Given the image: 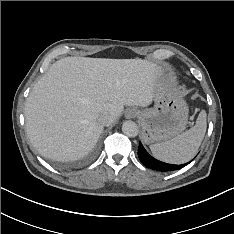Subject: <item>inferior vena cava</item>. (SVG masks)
I'll return each instance as SVG.
<instances>
[{
  "instance_id": "inferior-vena-cava-1",
  "label": "inferior vena cava",
  "mask_w": 234,
  "mask_h": 234,
  "mask_svg": "<svg viewBox=\"0 0 234 234\" xmlns=\"http://www.w3.org/2000/svg\"><path fill=\"white\" fill-rule=\"evenodd\" d=\"M113 121V116L105 112L101 114L98 118V122L104 126L109 125Z\"/></svg>"
}]
</instances>
